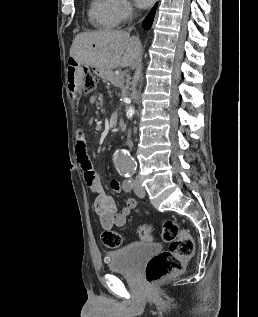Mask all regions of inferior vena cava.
Instances as JSON below:
<instances>
[{
	"label": "inferior vena cava",
	"instance_id": "obj_1",
	"mask_svg": "<svg viewBox=\"0 0 258 317\" xmlns=\"http://www.w3.org/2000/svg\"><path fill=\"white\" fill-rule=\"evenodd\" d=\"M129 30H132V28H129ZM127 142H128V146H130V148H131V146H133V144H132V140H131V132H130V130H128Z\"/></svg>",
	"mask_w": 258,
	"mask_h": 317
}]
</instances>
